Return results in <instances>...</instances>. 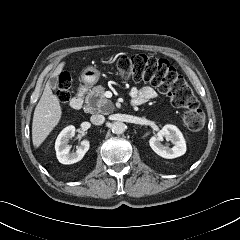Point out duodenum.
Returning a JSON list of instances; mask_svg holds the SVG:
<instances>
[{"mask_svg":"<svg viewBox=\"0 0 240 240\" xmlns=\"http://www.w3.org/2000/svg\"><path fill=\"white\" fill-rule=\"evenodd\" d=\"M85 91H86L85 88L81 87L78 90L76 96L72 98V100L70 102V107H71L72 110L76 111V110H79L82 107Z\"/></svg>","mask_w":240,"mask_h":240,"instance_id":"410a0bca","label":"duodenum"}]
</instances>
